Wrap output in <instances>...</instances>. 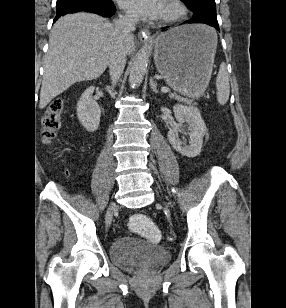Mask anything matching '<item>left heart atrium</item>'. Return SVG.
<instances>
[{"label":"left heart atrium","mask_w":286,"mask_h":308,"mask_svg":"<svg viewBox=\"0 0 286 308\" xmlns=\"http://www.w3.org/2000/svg\"><path fill=\"white\" fill-rule=\"evenodd\" d=\"M119 4L136 19H156L161 17L162 0H119Z\"/></svg>","instance_id":"left-heart-atrium-1"}]
</instances>
